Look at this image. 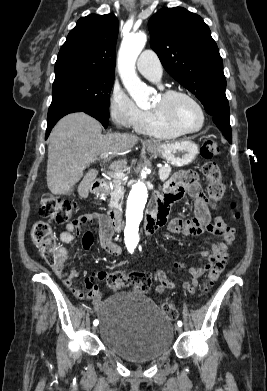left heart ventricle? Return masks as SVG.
Masks as SVG:
<instances>
[{
  "label": "left heart ventricle",
  "mask_w": 267,
  "mask_h": 391,
  "mask_svg": "<svg viewBox=\"0 0 267 391\" xmlns=\"http://www.w3.org/2000/svg\"><path fill=\"white\" fill-rule=\"evenodd\" d=\"M162 107L166 114L184 129H196L201 123V116L197 107L183 96H174L163 103L159 96L153 108Z\"/></svg>",
  "instance_id": "b2bd125f"
}]
</instances>
